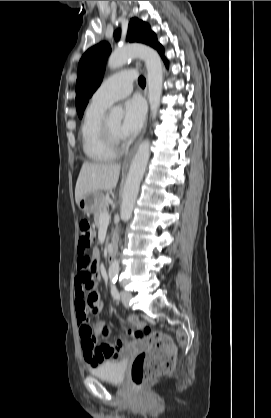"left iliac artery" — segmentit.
<instances>
[{"label":"left iliac artery","instance_id":"1","mask_svg":"<svg viewBox=\"0 0 271 418\" xmlns=\"http://www.w3.org/2000/svg\"><path fill=\"white\" fill-rule=\"evenodd\" d=\"M110 287H111V295H112V297L115 300H119L120 299V294H119V291H118V289L116 287V280H112L111 281Z\"/></svg>","mask_w":271,"mask_h":418}]
</instances>
